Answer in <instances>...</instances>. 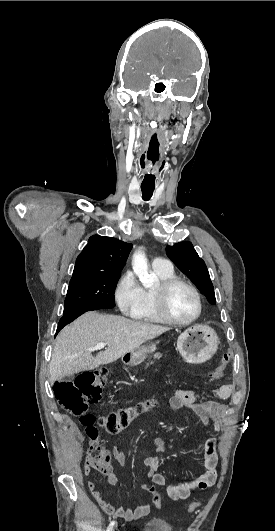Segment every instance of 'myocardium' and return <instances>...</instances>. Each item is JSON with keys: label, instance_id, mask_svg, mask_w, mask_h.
Returning a JSON list of instances; mask_svg holds the SVG:
<instances>
[{"label": "myocardium", "instance_id": "myocardium-1", "mask_svg": "<svg viewBox=\"0 0 275 531\" xmlns=\"http://www.w3.org/2000/svg\"><path fill=\"white\" fill-rule=\"evenodd\" d=\"M178 284L183 285L186 288H188L192 292V294L194 295L195 300H196V304H197L196 313L194 314L193 317H191L190 319H187V320L175 319L169 313L168 308H167V297H168V294H169L170 290L175 285H178ZM153 295H154V299H155L157 312L159 313L160 317L164 321H166V322H168L170 324L177 325V326H187V325H190V324L194 323L196 320H198L199 317L202 314V309H203L202 300H201V297H200V294H199L197 288L191 282H189V281H187V280H185L183 278L173 276V277L167 278L165 280H161V282L159 283L158 288L153 290Z\"/></svg>", "mask_w": 275, "mask_h": 531}]
</instances>
